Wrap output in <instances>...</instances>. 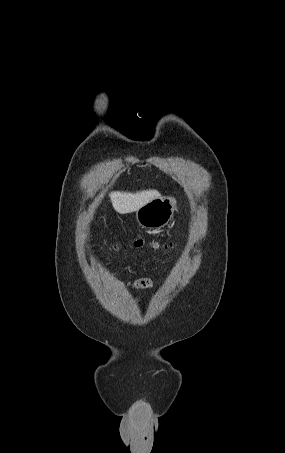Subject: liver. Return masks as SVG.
I'll list each match as a JSON object with an SVG mask.
<instances>
[{"instance_id":"6515ba94","label":"liver","mask_w":285,"mask_h":453,"mask_svg":"<svg viewBox=\"0 0 285 453\" xmlns=\"http://www.w3.org/2000/svg\"><path fill=\"white\" fill-rule=\"evenodd\" d=\"M113 208L120 214L136 211L151 200L160 197L157 190H143L136 193L114 191L109 194Z\"/></svg>"}]
</instances>
